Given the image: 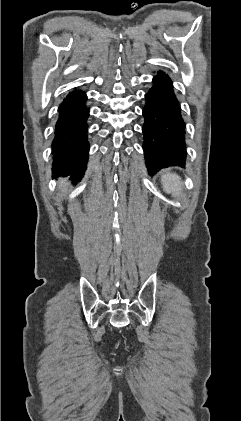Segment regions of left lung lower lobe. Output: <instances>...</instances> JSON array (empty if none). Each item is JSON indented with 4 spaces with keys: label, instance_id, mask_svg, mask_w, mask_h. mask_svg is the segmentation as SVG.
<instances>
[{
    "label": "left lung lower lobe",
    "instance_id": "obj_1",
    "mask_svg": "<svg viewBox=\"0 0 241 421\" xmlns=\"http://www.w3.org/2000/svg\"><path fill=\"white\" fill-rule=\"evenodd\" d=\"M145 94L143 150L150 175L161 168L183 166L186 160L185 122L169 76L158 71Z\"/></svg>",
    "mask_w": 241,
    "mask_h": 421
}]
</instances>
